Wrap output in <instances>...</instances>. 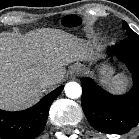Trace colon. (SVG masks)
<instances>
[{
	"instance_id": "1",
	"label": "colon",
	"mask_w": 139,
	"mask_h": 139,
	"mask_svg": "<svg viewBox=\"0 0 139 139\" xmlns=\"http://www.w3.org/2000/svg\"><path fill=\"white\" fill-rule=\"evenodd\" d=\"M76 21H77L76 17H74V16H67V17L63 18L62 23L65 26L72 27V26L75 25Z\"/></svg>"
}]
</instances>
